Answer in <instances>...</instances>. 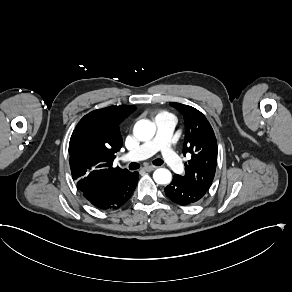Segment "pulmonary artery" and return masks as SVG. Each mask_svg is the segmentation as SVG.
Listing matches in <instances>:
<instances>
[{
  "instance_id": "e3ab8cb5",
  "label": "pulmonary artery",
  "mask_w": 292,
  "mask_h": 292,
  "mask_svg": "<svg viewBox=\"0 0 292 292\" xmlns=\"http://www.w3.org/2000/svg\"><path fill=\"white\" fill-rule=\"evenodd\" d=\"M175 119L169 113H160L157 116L159 128L157 134L151 141L142 147H135L132 150V157L135 160L150 158L160 151L161 158L174 171H181L184 168V161L173 151L172 129L175 126Z\"/></svg>"
}]
</instances>
